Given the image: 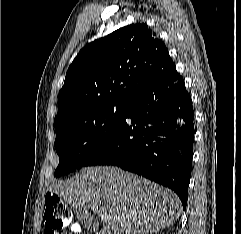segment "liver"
Masks as SVG:
<instances>
[{
	"label": "liver",
	"mask_w": 241,
	"mask_h": 234,
	"mask_svg": "<svg viewBox=\"0 0 241 234\" xmlns=\"http://www.w3.org/2000/svg\"><path fill=\"white\" fill-rule=\"evenodd\" d=\"M50 190L74 211L90 208L104 216L102 234L157 232L180 216L181 201L173 191L117 167H85Z\"/></svg>",
	"instance_id": "6515ba94"
}]
</instances>
